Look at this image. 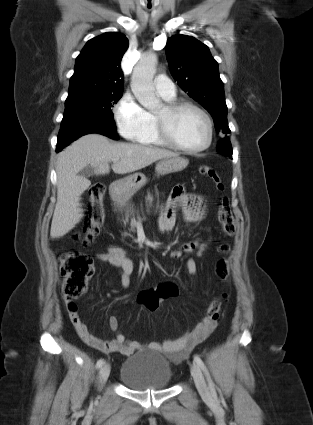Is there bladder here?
<instances>
[{"label":"bladder","mask_w":313,"mask_h":425,"mask_svg":"<svg viewBox=\"0 0 313 425\" xmlns=\"http://www.w3.org/2000/svg\"><path fill=\"white\" fill-rule=\"evenodd\" d=\"M119 379L131 390H161L170 386L173 373L161 353L144 350L123 361Z\"/></svg>","instance_id":"obj_1"}]
</instances>
